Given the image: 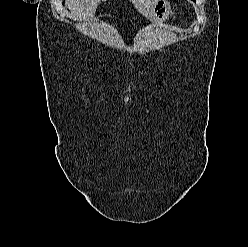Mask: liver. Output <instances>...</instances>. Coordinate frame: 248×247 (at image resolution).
<instances>
[{
  "mask_svg": "<svg viewBox=\"0 0 248 247\" xmlns=\"http://www.w3.org/2000/svg\"><path fill=\"white\" fill-rule=\"evenodd\" d=\"M106 1V0H102ZM101 0H66L65 6L70 10L69 17L74 20H85L93 17ZM143 16L147 17L157 0H130Z\"/></svg>",
  "mask_w": 248,
  "mask_h": 247,
  "instance_id": "1",
  "label": "liver"
}]
</instances>
